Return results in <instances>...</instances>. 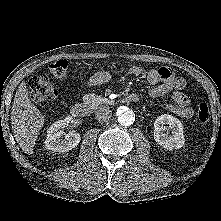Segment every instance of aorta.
<instances>
[{"mask_svg":"<svg viewBox=\"0 0 221 221\" xmlns=\"http://www.w3.org/2000/svg\"><path fill=\"white\" fill-rule=\"evenodd\" d=\"M117 115H118L117 120L122 126H125V127L130 126L135 121V114L129 108L120 107L118 109V114Z\"/></svg>","mask_w":221,"mask_h":221,"instance_id":"aorta-1","label":"aorta"}]
</instances>
